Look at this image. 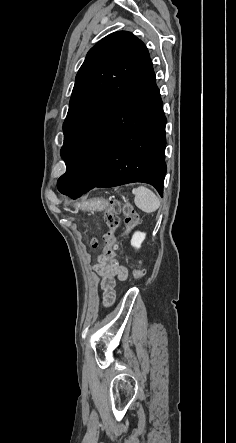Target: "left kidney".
<instances>
[{"label": "left kidney", "mask_w": 236, "mask_h": 443, "mask_svg": "<svg viewBox=\"0 0 236 443\" xmlns=\"http://www.w3.org/2000/svg\"><path fill=\"white\" fill-rule=\"evenodd\" d=\"M146 234L143 232H135L131 239V245L137 249L141 247L142 242L144 241Z\"/></svg>", "instance_id": "left-kidney-1"}]
</instances>
